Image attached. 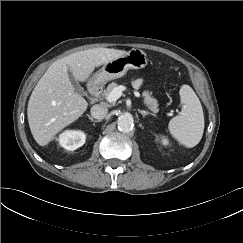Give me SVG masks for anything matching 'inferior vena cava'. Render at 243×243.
Here are the masks:
<instances>
[{"mask_svg":"<svg viewBox=\"0 0 243 243\" xmlns=\"http://www.w3.org/2000/svg\"><path fill=\"white\" fill-rule=\"evenodd\" d=\"M90 113L95 119L101 120L107 115L108 110L103 105H94L91 108Z\"/></svg>","mask_w":243,"mask_h":243,"instance_id":"inferior-vena-cava-1","label":"inferior vena cava"}]
</instances>
